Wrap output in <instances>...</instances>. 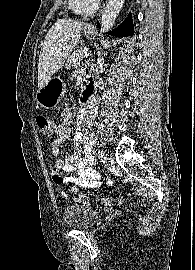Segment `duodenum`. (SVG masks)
Here are the masks:
<instances>
[{
    "label": "duodenum",
    "instance_id": "duodenum-1",
    "mask_svg": "<svg viewBox=\"0 0 195 270\" xmlns=\"http://www.w3.org/2000/svg\"><path fill=\"white\" fill-rule=\"evenodd\" d=\"M94 87H95L94 80L93 79L89 80L81 96V102L84 106H89L94 101L93 100Z\"/></svg>",
    "mask_w": 195,
    "mask_h": 270
}]
</instances>
